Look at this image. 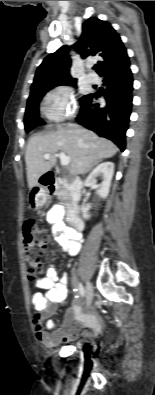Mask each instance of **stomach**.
Returning a JSON list of instances; mask_svg holds the SVG:
<instances>
[{"label": "stomach", "instance_id": "stomach-1", "mask_svg": "<svg viewBox=\"0 0 155 395\" xmlns=\"http://www.w3.org/2000/svg\"><path fill=\"white\" fill-rule=\"evenodd\" d=\"M47 199V192L39 186H35L30 190L28 195V201L31 207L39 208L41 207Z\"/></svg>", "mask_w": 155, "mask_h": 395}]
</instances>
